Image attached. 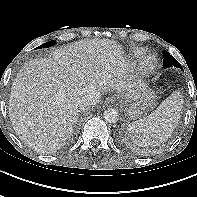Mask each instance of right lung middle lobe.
Wrapping results in <instances>:
<instances>
[{"mask_svg": "<svg viewBox=\"0 0 197 197\" xmlns=\"http://www.w3.org/2000/svg\"><path fill=\"white\" fill-rule=\"evenodd\" d=\"M56 43V41H49V42H47V43H44L43 45H41V46H39L38 48H36V49H39V48H48V47H50V46H53L54 44Z\"/></svg>", "mask_w": 197, "mask_h": 197, "instance_id": "dd1d6c3e", "label": "right lung middle lobe"}]
</instances>
